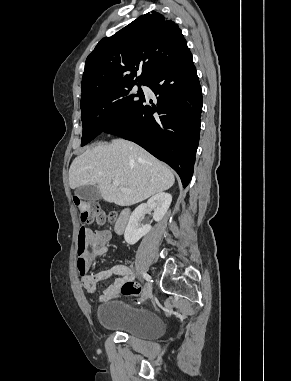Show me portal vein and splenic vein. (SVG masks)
<instances>
[{
  "instance_id": "18ae733b",
  "label": "portal vein and splenic vein",
  "mask_w": 291,
  "mask_h": 381,
  "mask_svg": "<svg viewBox=\"0 0 291 381\" xmlns=\"http://www.w3.org/2000/svg\"><path fill=\"white\" fill-rule=\"evenodd\" d=\"M113 185H115V186H120V183H119L118 180H114V181H113Z\"/></svg>"
}]
</instances>
